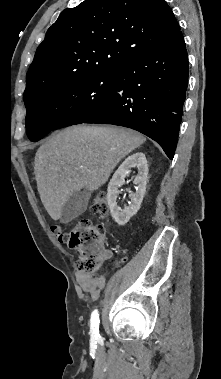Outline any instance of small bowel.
Instances as JSON below:
<instances>
[{
	"label": "small bowel",
	"instance_id": "small-bowel-1",
	"mask_svg": "<svg viewBox=\"0 0 221 379\" xmlns=\"http://www.w3.org/2000/svg\"><path fill=\"white\" fill-rule=\"evenodd\" d=\"M112 257L110 250L104 249L101 256V263L107 262ZM77 281L82 289L90 295L93 300H97L100 291L104 286L105 279L98 273H83L79 272L76 275Z\"/></svg>",
	"mask_w": 221,
	"mask_h": 379
}]
</instances>
